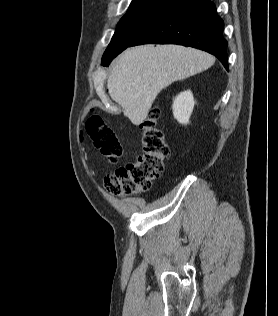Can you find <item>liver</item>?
I'll return each mask as SVG.
<instances>
[{
  "label": "liver",
  "mask_w": 278,
  "mask_h": 316,
  "mask_svg": "<svg viewBox=\"0 0 278 316\" xmlns=\"http://www.w3.org/2000/svg\"><path fill=\"white\" fill-rule=\"evenodd\" d=\"M215 58L178 45H144L124 51L108 78L111 98L136 125L142 123L160 91L210 68Z\"/></svg>",
  "instance_id": "1"
}]
</instances>
